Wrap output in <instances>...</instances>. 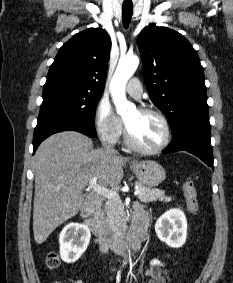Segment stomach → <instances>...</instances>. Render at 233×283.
Returning a JSON list of instances; mask_svg holds the SVG:
<instances>
[{"label":"stomach","mask_w":233,"mask_h":283,"mask_svg":"<svg viewBox=\"0 0 233 283\" xmlns=\"http://www.w3.org/2000/svg\"><path fill=\"white\" fill-rule=\"evenodd\" d=\"M131 169L135 173L137 179L147 187L158 186L166 178L164 168L152 160L133 162Z\"/></svg>","instance_id":"1"}]
</instances>
